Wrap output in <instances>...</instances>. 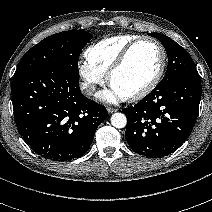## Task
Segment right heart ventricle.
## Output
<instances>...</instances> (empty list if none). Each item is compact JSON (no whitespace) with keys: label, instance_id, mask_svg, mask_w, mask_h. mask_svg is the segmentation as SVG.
Here are the masks:
<instances>
[{"label":"right heart ventricle","instance_id":"1","mask_svg":"<svg viewBox=\"0 0 212 212\" xmlns=\"http://www.w3.org/2000/svg\"><path fill=\"white\" fill-rule=\"evenodd\" d=\"M137 38L139 36L134 34H119L102 39L86 49V60L107 74L126 46Z\"/></svg>","mask_w":212,"mask_h":212}]
</instances>
